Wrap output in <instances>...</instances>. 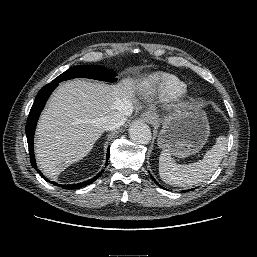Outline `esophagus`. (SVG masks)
Masks as SVG:
<instances>
[{"label":"esophagus","instance_id":"esophagus-1","mask_svg":"<svg viewBox=\"0 0 257 257\" xmlns=\"http://www.w3.org/2000/svg\"><path fill=\"white\" fill-rule=\"evenodd\" d=\"M141 119L146 123H152L155 120V115L150 111H146L141 115Z\"/></svg>","mask_w":257,"mask_h":257}]
</instances>
